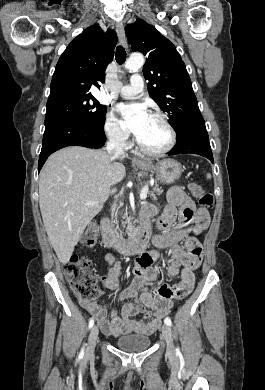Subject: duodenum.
Listing matches in <instances>:
<instances>
[{
    "label": "duodenum",
    "instance_id": "obj_1",
    "mask_svg": "<svg viewBox=\"0 0 265 390\" xmlns=\"http://www.w3.org/2000/svg\"><path fill=\"white\" fill-rule=\"evenodd\" d=\"M101 237L105 247L114 248L122 255H131L141 252L150 238V224L147 217L140 215L139 223L130 235L129 242L119 239L109 229L107 218H103L100 222Z\"/></svg>",
    "mask_w": 265,
    "mask_h": 390
}]
</instances>
